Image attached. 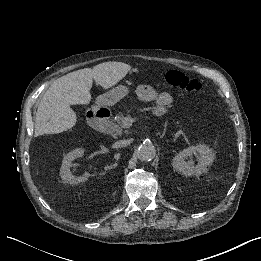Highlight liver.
<instances>
[{
	"label": "liver",
	"instance_id": "6515ba94",
	"mask_svg": "<svg viewBox=\"0 0 261 261\" xmlns=\"http://www.w3.org/2000/svg\"><path fill=\"white\" fill-rule=\"evenodd\" d=\"M131 71V67L86 68L65 75L55 81L39 103L35 119V136L58 134L77 123V114L71 106H87L92 101L93 82L109 90Z\"/></svg>",
	"mask_w": 261,
	"mask_h": 261
}]
</instances>
